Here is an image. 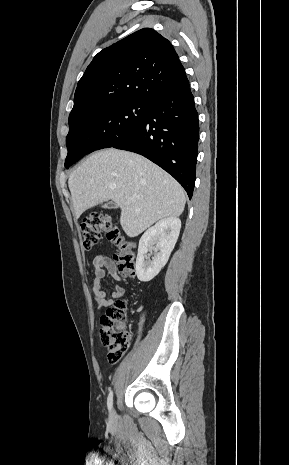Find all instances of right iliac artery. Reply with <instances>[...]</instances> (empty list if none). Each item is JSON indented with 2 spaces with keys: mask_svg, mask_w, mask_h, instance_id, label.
Listing matches in <instances>:
<instances>
[{
  "mask_svg": "<svg viewBox=\"0 0 289 465\" xmlns=\"http://www.w3.org/2000/svg\"><path fill=\"white\" fill-rule=\"evenodd\" d=\"M112 405H113V391L110 390V393L108 395V399H107V406H108V410L111 412L112 410Z\"/></svg>",
  "mask_w": 289,
  "mask_h": 465,
  "instance_id": "right-iliac-artery-1",
  "label": "right iliac artery"
}]
</instances>
